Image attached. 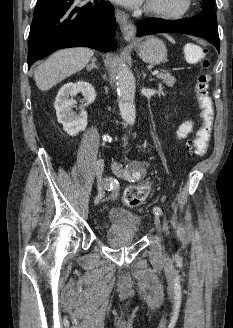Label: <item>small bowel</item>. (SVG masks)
<instances>
[{"mask_svg":"<svg viewBox=\"0 0 233 328\" xmlns=\"http://www.w3.org/2000/svg\"><path fill=\"white\" fill-rule=\"evenodd\" d=\"M193 128H194V122L191 120L181 123L176 132L177 139L179 141L185 139L191 133Z\"/></svg>","mask_w":233,"mask_h":328,"instance_id":"c3829d8e","label":"small bowel"}]
</instances>
